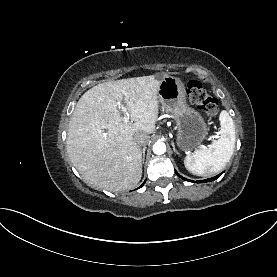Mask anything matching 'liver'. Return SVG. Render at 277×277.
<instances>
[{
  "mask_svg": "<svg viewBox=\"0 0 277 277\" xmlns=\"http://www.w3.org/2000/svg\"><path fill=\"white\" fill-rule=\"evenodd\" d=\"M160 82L154 75L109 81L81 96L69 121L66 149L88 184L113 192L138 184L142 151L134 137L155 130ZM121 101L131 123L122 122L117 107Z\"/></svg>",
  "mask_w": 277,
  "mask_h": 277,
  "instance_id": "obj_1",
  "label": "liver"
}]
</instances>
